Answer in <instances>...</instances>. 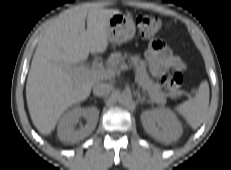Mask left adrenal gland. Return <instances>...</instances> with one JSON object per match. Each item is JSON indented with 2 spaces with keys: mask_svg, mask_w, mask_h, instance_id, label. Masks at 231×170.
<instances>
[{
  "mask_svg": "<svg viewBox=\"0 0 231 170\" xmlns=\"http://www.w3.org/2000/svg\"><path fill=\"white\" fill-rule=\"evenodd\" d=\"M138 100L140 103H144V102L150 103V101L146 100V98L142 97L140 94H138Z\"/></svg>",
  "mask_w": 231,
  "mask_h": 170,
  "instance_id": "obj_1",
  "label": "left adrenal gland"
}]
</instances>
